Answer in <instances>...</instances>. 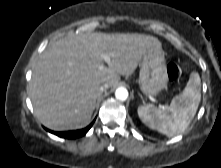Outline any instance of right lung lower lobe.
Returning a JSON list of instances; mask_svg holds the SVG:
<instances>
[{
  "instance_id": "obj_1",
  "label": "right lung lower lobe",
  "mask_w": 221,
  "mask_h": 168,
  "mask_svg": "<svg viewBox=\"0 0 221 168\" xmlns=\"http://www.w3.org/2000/svg\"><path fill=\"white\" fill-rule=\"evenodd\" d=\"M93 123L94 121L88 127L81 129V130L65 131V132H54L50 130L48 131L62 138L75 139V138L84 136L88 132V130L92 127Z\"/></svg>"
}]
</instances>
